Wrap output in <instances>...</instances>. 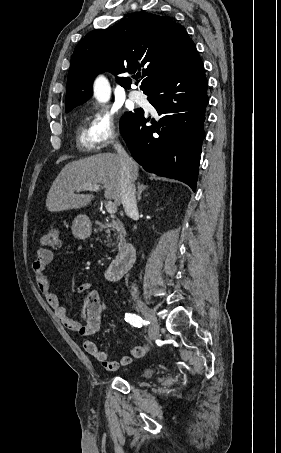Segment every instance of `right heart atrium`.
Segmentation results:
<instances>
[{"label":"right heart atrium","mask_w":281,"mask_h":453,"mask_svg":"<svg viewBox=\"0 0 281 453\" xmlns=\"http://www.w3.org/2000/svg\"><path fill=\"white\" fill-rule=\"evenodd\" d=\"M106 90L105 84L99 78L96 79L94 92L100 102H103L100 98L106 94ZM89 127L93 136L104 147L115 143L120 135V123L115 113L98 103L92 108V119ZM98 161L107 174H116L121 169L119 161L109 153L101 154Z\"/></svg>","instance_id":"d8ad5b80"}]
</instances>
